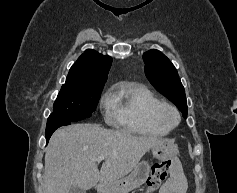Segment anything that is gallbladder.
Here are the masks:
<instances>
[{"instance_id": "bac80fb5", "label": "gallbladder", "mask_w": 237, "mask_h": 193, "mask_svg": "<svg viewBox=\"0 0 237 193\" xmlns=\"http://www.w3.org/2000/svg\"><path fill=\"white\" fill-rule=\"evenodd\" d=\"M69 193H86V191L81 189V188H79L78 186H73L69 190Z\"/></svg>"}]
</instances>
